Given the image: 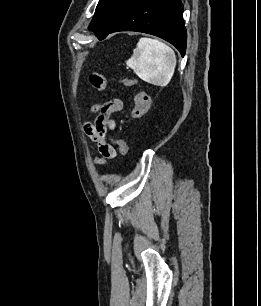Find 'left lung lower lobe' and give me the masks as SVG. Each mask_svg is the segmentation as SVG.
<instances>
[{"instance_id":"1","label":"left lung lower lobe","mask_w":261,"mask_h":306,"mask_svg":"<svg viewBox=\"0 0 261 306\" xmlns=\"http://www.w3.org/2000/svg\"><path fill=\"white\" fill-rule=\"evenodd\" d=\"M180 0H133L109 33L137 31L158 36L173 44L184 56L187 33Z\"/></svg>"}]
</instances>
